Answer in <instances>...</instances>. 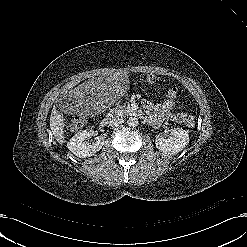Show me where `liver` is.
I'll return each instance as SVG.
<instances>
[{
    "label": "liver",
    "mask_w": 247,
    "mask_h": 247,
    "mask_svg": "<svg viewBox=\"0 0 247 247\" xmlns=\"http://www.w3.org/2000/svg\"><path fill=\"white\" fill-rule=\"evenodd\" d=\"M64 126L65 121L63 115L54 107L50 115V129L59 144L65 141Z\"/></svg>",
    "instance_id": "liver-1"
}]
</instances>
